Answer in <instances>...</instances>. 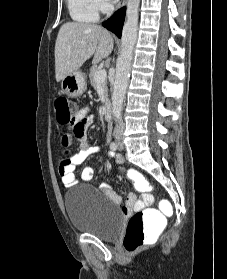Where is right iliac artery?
Wrapping results in <instances>:
<instances>
[{
  "instance_id": "82829eb1",
  "label": "right iliac artery",
  "mask_w": 227,
  "mask_h": 279,
  "mask_svg": "<svg viewBox=\"0 0 227 279\" xmlns=\"http://www.w3.org/2000/svg\"><path fill=\"white\" fill-rule=\"evenodd\" d=\"M117 147H118V145H117L116 142H112V143L110 144V148H111L113 151H115V150L117 149Z\"/></svg>"
}]
</instances>
